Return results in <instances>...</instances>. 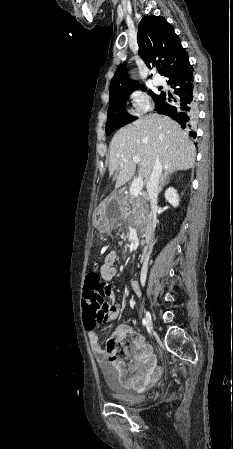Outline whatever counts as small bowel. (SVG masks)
<instances>
[{"label": "small bowel", "mask_w": 233, "mask_h": 449, "mask_svg": "<svg viewBox=\"0 0 233 449\" xmlns=\"http://www.w3.org/2000/svg\"><path fill=\"white\" fill-rule=\"evenodd\" d=\"M118 260V252L115 250L109 251L103 263L99 266V273L103 281H111L116 273V262ZM101 296L104 300L101 304L104 309V316L102 323H107L115 320L120 311L117 304H112L108 299L113 298V288L107 284L102 286ZM135 295H141V287L139 282H135L130 289ZM88 330L89 342L103 373H114L120 383L128 388H143L154 376V370L157 365V358L153 348L145 342L144 338L137 333H131L133 336V344L131 346L132 354L129 365L126 366L122 359L118 358L115 361L110 359V356L105 350L99 340L97 328H86Z\"/></svg>", "instance_id": "obj_1"}]
</instances>
